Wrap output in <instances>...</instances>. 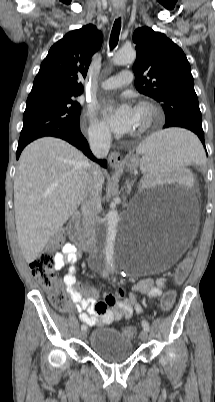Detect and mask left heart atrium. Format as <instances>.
<instances>
[{
    "instance_id": "obj_1",
    "label": "left heart atrium",
    "mask_w": 215,
    "mask_h": 402,
    "mask_svg": "<svg viewBox=\"0 0 215 402\" xmlns=\"http://www.w3.org/2000/svg\"><path fill=\"white\" fill-rule=\"evenodd\" d=\"M110 128L118 134L130 133L135 123V109L125 99L103 111Z\"/></svg>"
}]
</instances>
